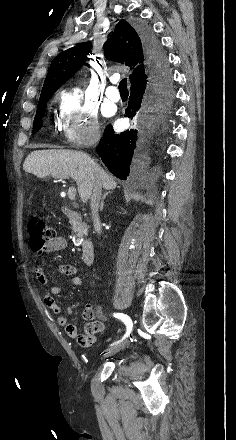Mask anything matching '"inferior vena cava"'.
Here are the masks:
<instances>
[{
	"label": "inferior vena cava",
	"mask_w": 236,
	"mask_h": 440,
	"mask_svg": "<svg viewBox=\"0 0 236 440\" xmlns=\"http://www.w3.org/2000/svg\"><path fill=\"white\" fill-rule=\"evenodd\" d=\"M102 195V187L99 181L94 184L91 196H90V207L92 213V219L94 222L95 229L100 230V219L98 214L99 202Z\"/></svg>",
	"instance_id": "1"
}]
</instances>
